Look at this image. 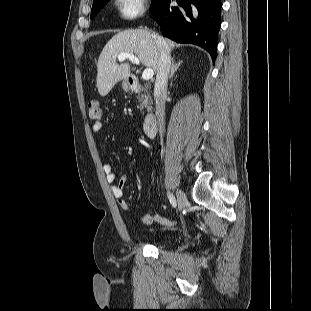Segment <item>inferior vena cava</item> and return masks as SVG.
<instances>
[{"instance_id": "inferior-vena-cava-1", "label": "inferior vena cava", "mask_w": 311, "mask_h": 311, "mask_svg": "<svg viewBox=\"0 0 311 311\" xmlns=\"http://www.w3.org/2000/svg\"><path fill=\"white\" fill-rule=\"evenodd\" d=\"M154 39L159 52V61L154 87V98L156 102V116L158 119L159 133L165 131V99L167 95L168 75L171 68L170 50L162 37L154 34Z\"/></svg>"}]
</instances>
